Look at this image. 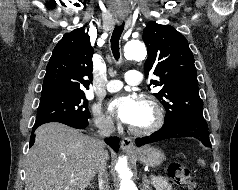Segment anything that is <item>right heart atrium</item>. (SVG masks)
Segmentation results:
<instances>
[{
	"label": "right heart atrium",
	"mask_w": 238,
	"mask_h": 190,
	"mask_svg": "<svg viewBox=\"0 0 238 190\" xmlns=\"http://www.w3.org/2000/svg\"><path fill=\"white\" fill-rule=\"evenodd\" d=\"M93 120L95 125L102 130H112L114 128V121L112 117L101 111L99 107H94L92 110Z\"/></svg>",
	"instance_id": "1"
}]
</instances>
